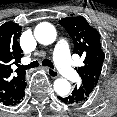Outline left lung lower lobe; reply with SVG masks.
Masks as SVG:
<instances>
[{
	"label": "left lung lower lobe",
	"instance_id": "0a47b994",
	"mask_svg": "<svg viewBox=\"0 0 117 117\" xmlns=\"http://www.w3.org/2000/svg\"><path fill=\"white\" fill-rule=\"evenodd\" d=\"M58 99L62 103L67 105L83 104L87 100L85 94L81 91V89H77V88L73 90L71 95L63 96V97L58 96Z\"/></svg>",
	"mask_w": 117,
	"mask_h": 117
}]
</instances>
